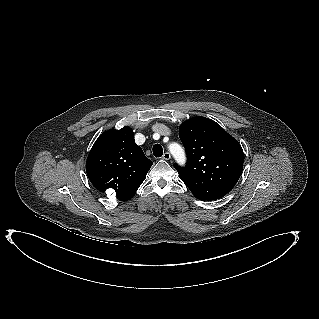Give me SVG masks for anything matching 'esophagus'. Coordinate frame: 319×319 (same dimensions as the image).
<instances>
[{
  "mask_svg": "<svg viewBox=\"0 0 319 319\" xmlns=\"http://www.w3.org/2000/svg\"><path fill=\"white\" fill-rule=\"evenodd\" d=\"M162 158H163L164 160H169V159L171 158V155H170L169 152H165V153L163 154Z\"/></svg>",
  "mask_w": 319,
  "mask_h": 319,
  "instance_id": "1",
  "label": "esophagus"
}]
</instances>
